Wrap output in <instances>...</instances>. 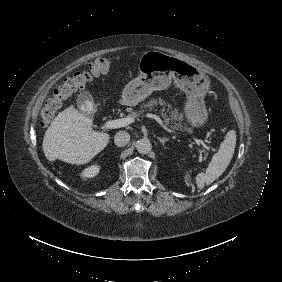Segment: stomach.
<instances>
[{
    "mask_svg": "<svg viewBox=\"0 0 282 282\" xmlns=\"http://www.w3.org/2000/svg\"><path fill=\"white\" fill-rule=\"evenodd\" d=\"M140 75L122 91V103L136 106L155 90L167 89L172 80L187 95L185 115L193 127L208 119L204 97L210 88L209 78L187 61L160 51L145 52L139 60Z\"/></svg>",
    "mask_w": 282,
    "mask_h": 282,
    "instance_id": "1",
    "label": "stomach"
}]
</instances>
